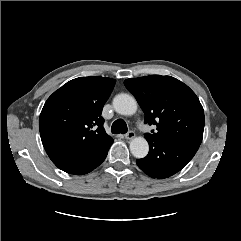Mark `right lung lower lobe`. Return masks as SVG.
Returning a JSON list of instances; mask_svg holds the SVG:
<instances>
[{
    "label": "right lung lower lobe",
    "instance_id": "1",
    "mask_svg": "<svg viewBox=\"0 0 241 241\" xmlns=\"http://www.w3.org/2000/svg\"><path fill=\"white\" fill-rule=\"evenodd\" d=\"M113 143L111 138L107 142L101 144L94 150L74 157L65 158L55 163V165L69 173L74 175L86 174L96 167H98L106 158L108 150Z\"/></svg>",
    "mask_w": 241,
    "mask_h": 241
}]
</instances>
